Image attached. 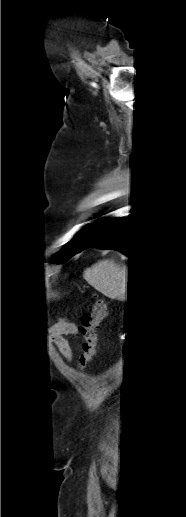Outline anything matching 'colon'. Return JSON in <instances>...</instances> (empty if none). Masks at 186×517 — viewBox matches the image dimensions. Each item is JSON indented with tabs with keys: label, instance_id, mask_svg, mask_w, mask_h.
Masks as SVG:
<instances>
[{
	"label": "colon",
	"instance_id": "5ec220e1",
	"mask_svg": "<svg viewBox=\"0 0 186 517\" xmlns=\"http://www.w3.org/2000/svg\"><path fill=\"white\" fill-rule=\"evenodd\" d=\"M108 314L107 303L103 299H96L92 308L83 313L80 319V332L83 336L82 352L79 358L78 367H88L97 350L98 330L101 322Z\"/></svg>",
	"mask_w": 186,
	"mask_h": 517
}]
</instances>
